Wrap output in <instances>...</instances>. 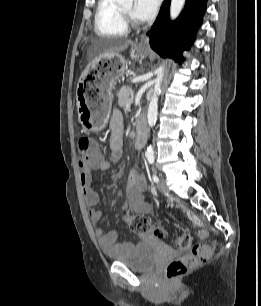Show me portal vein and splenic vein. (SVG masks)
<instances>
[{"label": "portal vein and splenic vein", "instance_id": "obj_1", "mask_svg": "<svg viewBox=\"0 0 261 306\" xmlns=\"http://www.w3.org/2000/svg\"><path fill=\"white\" fill-rule=\"evenodd\" d=\"M133 102V97H132V99L130 100V104Z\"/></svg>", "mask_w": 261, "mask_h": 306}]
</instances>
